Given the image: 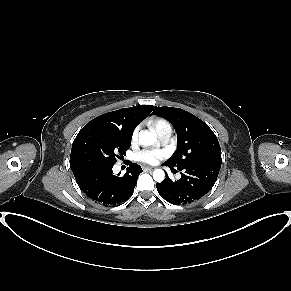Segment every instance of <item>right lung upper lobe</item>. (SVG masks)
Returning a JSON list of instances; mask_svg holds the SVG:
<instances>
[{
  "mask_svg": "<svg viewBox=\"0 0 291 291\" xmlns=\"http://www.w3.org/2000/svg\"><path fill=\"white\" fill-rule=\"evenodd\" d=\"M154 108L155 106L152 105H139L108 112L91 120L84 127L105 125L133 133L136 126L145 119Z\"/></svg>",
  "mask_w": 291,
  "mask_h": 291,
  "instance_id": "right-lung-upper-lobe-1",
  "label": "right lung upper lobe"
}]
</instances>
